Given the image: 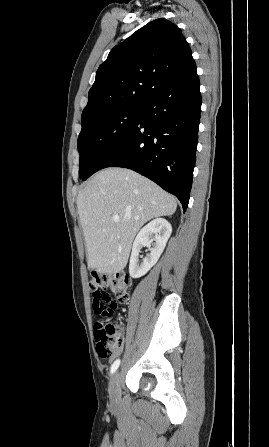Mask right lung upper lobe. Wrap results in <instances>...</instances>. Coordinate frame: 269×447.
<instances>
[{
    "label": "right lung upper lobe",
    "mask_w": 269,
    "mask_h": 447,
    "mask_svg": "<svg viewBox=\"0 0 269 447\" xmlns=\"http://www.w3.org/2000/svg\"><path fill=\"white\" fill-rule=\"evenodd\" d=\"M194 63L181 30L156 19L116 45L99 66L82 123L120 107L142 104Z\"/></svg>",
    "instance_id": "1"
}]
</instances>
